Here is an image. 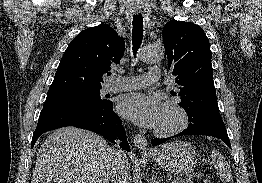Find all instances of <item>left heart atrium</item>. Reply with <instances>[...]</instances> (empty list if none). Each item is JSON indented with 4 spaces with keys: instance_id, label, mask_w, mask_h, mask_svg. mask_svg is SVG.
Segmentation results:
<instances>
[{
    "instance_id": "1",
    "label": "left heart atrium",
    "mask_w": 262,
    "mask_h": 183,
    "mask_svg": "<svg viewBox=\"0 0 262 183\" xmlns=\"http://www.w3.org/2000/svg\"><path fill=\"white\" fill-rule=\"evenodd\" d=\"M163 104L154 94L131 93L124 95L118 103V111L136 125L155 129L159 123Z\"/></svg>"
}]
</instances>
